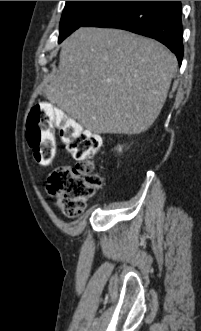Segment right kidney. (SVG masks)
<instances>
[{
    "mask_svg": "<svg viewBox=\"0 0 201 331\" xmlns=\"http://www.w3.org/2000/svg\"><path fill=\"white\" fill-rule=\"evenodd\" d=\"M118 150L121 152V151H122V147H121V146H119Z\"/></svg>",
    "mask_w": 201,
    "mask_h": 331,
    "instance_id": "1",
    "label": "right kidney"
}]
</instances>
